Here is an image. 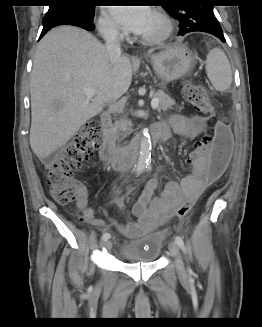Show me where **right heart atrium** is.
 Wrapping results in <instances>:
<instances>
[{
    "label": "right heart atrium",
    "instance_id": "right-heart-atrium-1",
    "mask_svg": "<svg viewBox=\"0 0 262 327\" xmlns=\"http://www.w3.org/2000/svg\"><path fill=\"white\" fill-rule=\"evenodd\" d=\"M96 27L99 34L104 39L120 40L124 36L121 30L115 25L109 15L104 11H102L96 19Z\"/></svg>",
    "mask_w": 262,
    "mask_h": 327
}]
</instances>
